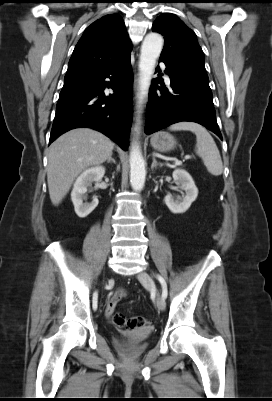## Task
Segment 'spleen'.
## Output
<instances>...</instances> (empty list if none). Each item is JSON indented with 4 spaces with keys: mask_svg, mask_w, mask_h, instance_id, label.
<instances>
[{
    "mask_svg": "<svg viewBox=\"0 0 272 401\" xmlns=\"http://www.w3.org/2000/svg\"><path fill=\"white\" fill-rule=\"evenodd\" d=\"M172 131L187 130L196 135V154L202 158L208 172L219 176L223 172V164L216 143L208 131L194 122H179L169 128Z\"/></svg>",
    "mask_w": 272,
    "mask_h": 401,
    "instance_id": "spleen-1",
    "label": "spleen"
}]
</instances>
